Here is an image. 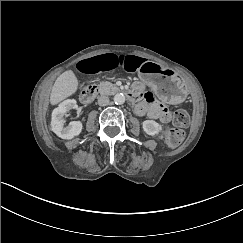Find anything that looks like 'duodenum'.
Returning <instances> with one entry per match:
<instances>
[{"instance_id": "duodenum-1", "label": "duodenum", "mask_w": 243, "mask_h": 243, "mask_svg": "<svg viewBox=\"0 0 243 243\" xmlns=\"http://www.w3.org/2000/svg\"><path fill=\"white\" fill-rule=\"evenodd\" d=\"M125 94L127 95L128 99L132 102H137L140 100L141 95L138 91L135 90H127L125 91ZM96 95V87L93 84H90L86 86L80 95V100L83 104L88 105L90 104Z\"/></svg>"}]
</instances>
